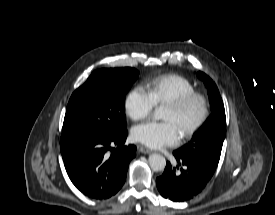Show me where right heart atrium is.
<instances>
[{
	"instance_id": "right-heart-atrium-1",
	"label": "right heart atrium",
	"mask_w": 275,
	"mask_h": 215,
	"mask_svg": "<svg viewBox=\"0 0 275 215\" xmlns=\"http://www.w3.org/2000/svg\"><path fill=\"white\" fill-rule=\"evenodd\" d=\"M124 107L127 115L134 121L148 117L155 104L148 92L141 86L131 89L125 97Z\"/></svg>"
}]
</instances>
